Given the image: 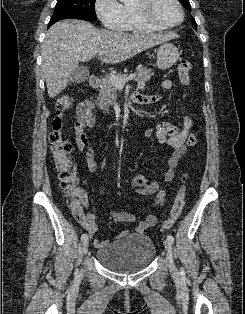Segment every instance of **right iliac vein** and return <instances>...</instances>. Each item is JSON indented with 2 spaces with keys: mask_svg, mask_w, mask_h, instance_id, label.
I'll use <instances>...</instances> for the list:
<instances>
[{
  "mask_svg": "<svg viewBox=\"0 0 245 314\" xmlns=\"http://www.w3.org/2000/svg\"><path fill=\"white\" fill-rule=\"evenodd\" d=\"M88 247H89V239L86 238L83 240V243H82V252L85 254L88 250Z\"/></svg>",
  "mask_w": 245,
  "mask_h": 314,
  "instance_id": "63e3f726",
  "label": "right iliac vein"
}]
</instances>
